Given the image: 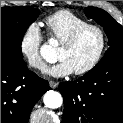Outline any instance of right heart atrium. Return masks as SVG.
I'll list each match as a JSON object with an SVG mask.
<instances>
[{
    "instance_id": "1",
    "label": "right heart atrium",
    "mask_w": 123,
    "mask_h": 123,
    "mask_svg": "<svg viewBox=\"0 0 123 123\" xmlns=\"http://www.w3.org/2000/svg\"><path fill=\"white\" fill-rule=\"evenodd\" d=\"M43 41L41 31L36 23H30L23 30L19 49L28 65L38 71L46 67V63L41 55L40 48Z\"/></svg>"
}]
</instances>
